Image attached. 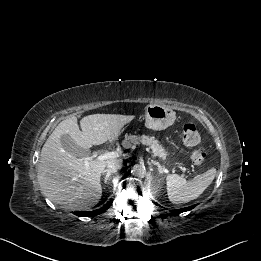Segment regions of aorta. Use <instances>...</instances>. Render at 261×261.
I'll return each mask as SVG.
<instances>
[{"instance_id":"762f6f07","label":"aorta","mask_w":261,"mask_h":261,"mask_svg":"<svg viewBox=\"0 0 261 261\" xmlns=\"http://www.w3.org/2000/svg\"><path fill=\"white\" fill-rule=\"evenodd\" d=\"M132 172L137 176H143L145 173V168L141 165H134Z\"/></svg>"}]
</instances>
